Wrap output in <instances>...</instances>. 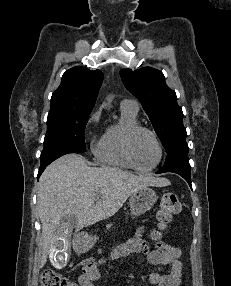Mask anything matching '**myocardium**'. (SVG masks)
Here are the masks:
<instances>
[{
    "instance_id": "1",
    "label": "myocardium",
    "mask_w": 231,
    "mask_h": 286,
    "mask_svg": "<svg viewBox=\"0 0 231 286\" xmlns=\"http://www.w3.org/2000/svg\"><path fill=\"white\" fill-rule=\"evenodd\" d=\"M140 132H147L148 134H150L152 136V138L154 139L157 148H158V160L157 162L150 168H141L139 167L136 162L135 159L133 157V153H132V143H133V139L135 138V136L140 133ZM123 149H124V154L128 160V162L130 163L131 167L133 169H135L136 171L142 172V173H149L154 171L162 162L163 160V155H164V149H163V145L162 142L160 140V138L158 137L157 133L152 130L149 127L146 126H142V125H135L130 127L125 135H124V141H123Z\"/></svg>"
}]
</instances>
